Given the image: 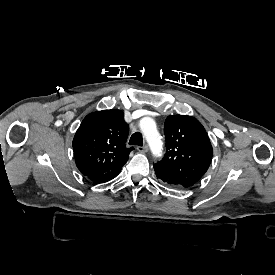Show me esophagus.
Listing matches in <instances>:
<instances>
[{"label":"esophagus","instance_id":"34e87169","mask_svg":"<svg viewBox=\"0 0 275 275\" xmlns=\"http://www.w3.org/2000/svg\"><path fill=\"white\" fill-rule=\"evenodd\" d=\"M137 150L141 153H146V152H148L149 148H148V145L146 144L144 146H138Z\"/></svg>","mask_w":275,"mask_h":275}]
</instances>
